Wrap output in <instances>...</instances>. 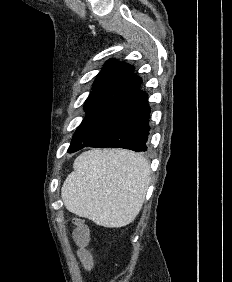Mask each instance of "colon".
<instances>
[{"instance_id":"5ec220e1","label":"colon","mask_w":232,"mask_h":282,"mask_svg":"<svg viewBox=\"0 0 232 282\" xmlns=\"http://www.w3.org/2000/svg\"><path fill=\"white\" fill-rule=\"evenodd\" d=\"M88 231L87 228L84 224H82L80 221L76 222V228L74 229L73 232V239L77 243V245L83 247L87 244L88 242ZM86 258V256H84Z\"/></svg>"}]
</instances>
